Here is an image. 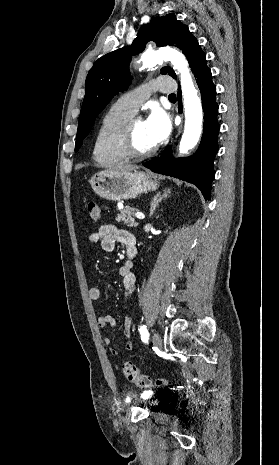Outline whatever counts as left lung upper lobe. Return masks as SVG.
Returning <instances> with one entry per match:
<instances>
[{
    "label": "left lung upper lobe",
    "mask_w": 279,
    "mask_h": 465,
    "mask_svg": "<svg viewBox=\"0 0 279 465\" xmlns=\"http://www.w3.org/2000/svg\"><path fill=\"white\" fill-rule=\"evenodd\" d=\"M150 40L160 47L170 45L180 48L191 68L204 54L188 27L178 21L173 14H168L156 17L149 24L142 26L131 47L117 49L99 58L86 78V94L79 118L75 151L79 150L96 117L111 98L127 89L131 82L128 70L131 56L142 52ZM161 72L176 78L170 67L162 68Z\"/></svg>",
    "instance_id": "1"
}]
</instances>
